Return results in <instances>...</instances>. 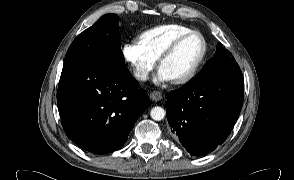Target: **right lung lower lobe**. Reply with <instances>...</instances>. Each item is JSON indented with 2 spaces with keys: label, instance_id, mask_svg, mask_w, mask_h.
<instances>
[{
  "label": "right lung lower lobe",
  "instance_id": "98d812e1",
  "mask_svg": "<svg viewBox=\"0 0 294 180\" xmlns=\"http://www.w3.org/2000/svg\"><path fill=\"white\" fill-rule=\"evenodd\" d=\"M57 104L68 138L104 154L124 145L150 100L126 67L87 63L61 73Z\"/></svg>",
  "mask_w": 294,
  "mask_h": 180
}]
</instances>
